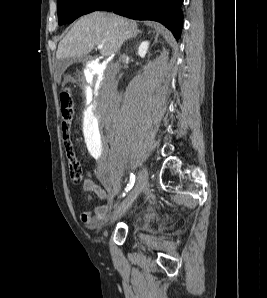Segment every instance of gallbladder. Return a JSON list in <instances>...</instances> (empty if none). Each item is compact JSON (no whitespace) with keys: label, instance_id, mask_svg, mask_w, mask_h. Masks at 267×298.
<instances>
[{"label":"gallbladder","instance_id":"1","mask_svg":"<svg viewBox=\"0 0 267 298\" xmlns=\"http://www.w3.org/2000/svg\"><path fill=\"white\" fill-rule=\"evenodd\" d=\"M89 57L88 56H82L77 58H62L57 60V72L60 74L62 73L67 67H69L73 62L77 60H81L85 62Z\"/></svg>","mask_w":267,"mask_h":298}]
</instances>
